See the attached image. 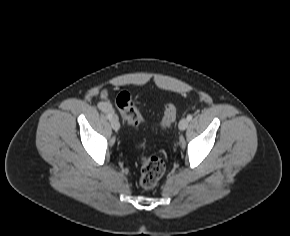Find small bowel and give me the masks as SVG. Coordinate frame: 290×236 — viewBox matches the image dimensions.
Returning a JSON list of instances; mask_svg holds the SVG:
<instances>
[{"mask_svg": "<svg viewBox=\"0 0 290 236\" xmlns=\"http://www.w3.org/2000/svg\"><path fill=\"white\" fill-rule=\"evenodd\" d=\"M101 98H102V101L100 103L101 109L111 111V107L108 102V92L106 90L102 91Z\"/></svg>", "mask_w": 290, "mask_h": 236, "instance_id": "obj_1", "label": "small bowel"}]
</instances>
